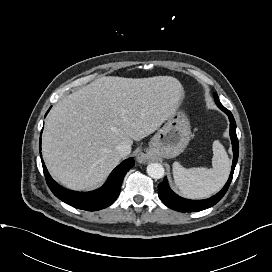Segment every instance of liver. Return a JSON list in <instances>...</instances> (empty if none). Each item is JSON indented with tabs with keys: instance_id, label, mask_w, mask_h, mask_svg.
<instances>
[{
	"instance_id": "1",
	"label": "liver",
	"mask_w": 272,
	"mask_h": 272,
	"mask_svg": "<svg viewBox=\"0 0 272 272\" xmlns=\"http://www.w3.org/2000/svg\"><path fill=\"white\" fill-rule=\"evenodd\" d=\"M181 83L171 76H106L60 100L49 113L42 152L65 187L88 190L119 164L116 150L155 132L180 106Z\"/></svg>"
}]
</instances>
